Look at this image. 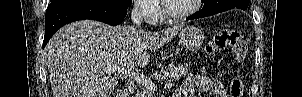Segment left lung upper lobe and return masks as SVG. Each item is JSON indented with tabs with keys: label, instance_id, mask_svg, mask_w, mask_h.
Segmentation results:
<instances>
[{
	"label": "left lung upper lobe",
	"instance_id": "1",
	"mask_svg": "<svg viewBox=\"0 0 302 97\" xmlns=\"http://www.w3.org/2000/svg\"><path fill=\"white\" fill-rule=\"evenodd\" d=\"M202 2H204V8L223 12L233 8L248 7L250 0H202Z\"/></svg>",
	"mask_w": 302,
	"mask_h": 97
}]
</instances>
